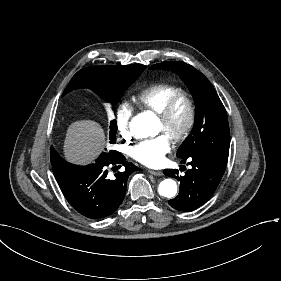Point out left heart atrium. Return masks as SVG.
<instances>
[{"label":"left heart atrium","mask_w":281,"mask_h":281,"mask_svg":"<svg viewBox=\"0 0 281 281\" xmlns=\"http://www.w3.org/2000/svg\"><path fill=\"white\" fill-rule=\"evenodd\" d=\"M170 150V142L166 135L145 140L131 149V156L137 162L156 168L165 162V155Z\"/></svg>","instance_id":"1"}]
</instances>
